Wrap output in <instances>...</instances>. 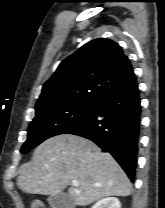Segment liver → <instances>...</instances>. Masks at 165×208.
<instances>
[{
    "mask_svg": "<svg viewBox=\"0 0 165 208\" xmlns=\"http://www.w3.org/2000/svg\"><path fill=\"white\" fill-rule=\"evenodd\" d=\"M68 189L75 205L86 206L108 196H129L132 185L109 154L92 141L71 134L47 139L35 150L32 161L17 179L25 193L56 195Z\"/></svg>",
    "mask_w": 165,
    "mask_h": 208,
    "instance_id": "obj_1",
    "label": "liver"
}]
</instances>
